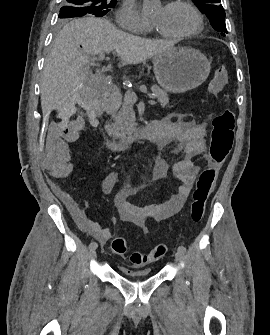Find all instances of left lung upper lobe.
<instances>
[{"label":"left lung upper lobe","mask_w":270,"mask_h":335,"mask_svg":"<svg viewBox=\"0 0 270 335\" xmlns=\"http://www.w3.org/2000/svg\"><path fill=\"white\" fill-rule=\"evenodd\" d=\"M199 10L209 19L212 27L221 32L223 35L227 33L225 25V12L221 0H192Z\"/></svg>","instance_id":"left-lung-upper-lobe-1"}]
</instances>
